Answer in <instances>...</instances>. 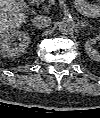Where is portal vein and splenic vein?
<instances>
[{"label":"portal vein and splenic vein","instance_id":"18ae733b","mask_svg":"<svg viewBox=\"0 0 100 118\" xmlns=\"http://www.w3.org/2000/svg\"><path fill=\"white\" fill-rule=\"evenodd\" d=\"M51 2H52V3H54V2H55V0H51Z\"/></svg>","mask_w":100,"mask_h":118}]
</instances>
